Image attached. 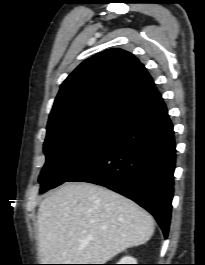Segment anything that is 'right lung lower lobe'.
<instances>
[{
	"label": "right lung lower lobe",
	"instance_id": "right-lung-lower-lobe-1",
	"mask_svg": "<svg viewBox=\"0 0 205 265\" xmlns=\"http://www.w3.org/2000/svg\"><path fill=\"white\" fill-rule=\"evenodd\" d=\"M173 125L160 98L124 123L109 144L67 181L116 191L149 211L168 236L176 157Z\"/></svg>",
	"mask_w": 205,
	"mask_h": 265
}]
</instances>
